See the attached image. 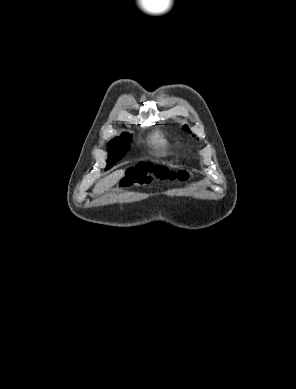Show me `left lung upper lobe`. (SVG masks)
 I'll use <instances>...</instances> for the list:
<instances>
[{
  "label": "left lung upper lobe",
  "instance_id": "obj_1",
  "mask_svg": "<svg viewBox=\"0 0 296 389\" xmlns=\"http://www.w3.org/2000/svg\"><path fill=\"white\" fill-rule=\"evenodd\" d=\"M182 129H183L184 131H188L189 133H191V131L188 130L187 126H183Z\"/></svg>",
  "mask_w": 296,
  "mask_h": 389
}]
</instances>
